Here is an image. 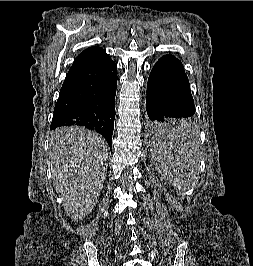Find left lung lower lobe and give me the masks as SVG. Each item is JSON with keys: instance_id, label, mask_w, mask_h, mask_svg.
Listing matches in <instances>:
<instances>
[{"instance_id": "0a47b994", "label": "left lung lower lobe", "mask_w": 253, "mask_h": 266, "mask_svg": "<svg viewBox=\"0 0 253 266\" xmlns=\"http://www.w3.org/2000/svg\"><path fill=\"white\" fill-rule=\"evenodd\" d=\"M146 108L152 136L173 138L191 133L185 119L195 114L194 101L183 65L174 56H163L152 68Z\"/></svg>"}]
</instances>
